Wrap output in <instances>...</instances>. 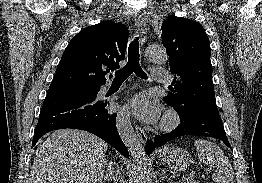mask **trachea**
Segmentation results:
<instances>
[{
    "label": "trachea",
    "mask_w": 262,
    "mask_h": 183,
    "mask_svg": "<svg viewBox=\"0 0 262 183\" xmlns=\"http://www.w3.org/2000/svg\"><path fill=\"white\" fill-rule=\"evenodd\" d=\"M139 60V42L138 37H136L129 45L127 64L115 72L113 82H124L132 73H135L141 79H147V75L142 70Z\"/></svg>",
    "instance_id": "3493384b"
}]
</instances>
